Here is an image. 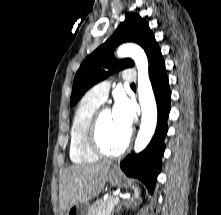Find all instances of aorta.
<instances>
[{
  "label": "aorta",
  "instance_id": "762f6f07",
  "mask_svg": "<svg viewBox=\"0 0 221 215\" xmlns=\"http://www.w3.org/2000/svg\"><path fill=\"white\" fill-rule=\"evenodd\" d=\"M119 57H131L138 71V95L142 110L140 129L134 151L141 152L150 142L157 125V106L148 75V59L144 50L136 44H123L117 50Z\"/></svg>",
  "mask_w": 221,
  "mask_h": 215
}]
</instances>
